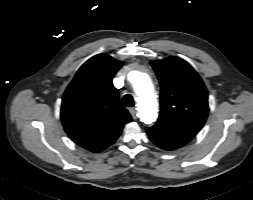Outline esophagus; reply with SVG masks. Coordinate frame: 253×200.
Wrapping results in <instances>:
<instances>
[{
	"label": "esophagus",
	"instance_id": "esophagus-1",
	"mask_svg": "<svg viewBox=\"0 0 253 200\" xmlns=\"http://www.w3.org/2000/svg\"><path fill=\"white\" fill-rule=\"evenodd\" d=\"M129 112L132 115L133 119H137V112L134 108H131Z\"/></svg>",
	"mask_w": 253,
	"mask_h": 200
}]
</instances>
